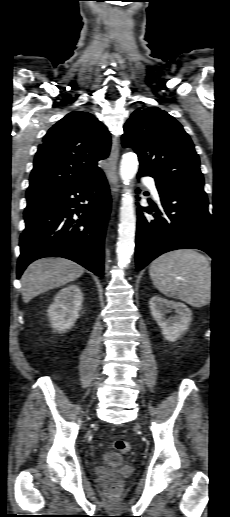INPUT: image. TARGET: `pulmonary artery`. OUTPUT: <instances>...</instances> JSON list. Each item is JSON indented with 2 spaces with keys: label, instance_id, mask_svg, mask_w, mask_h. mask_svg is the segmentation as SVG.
<instances>
[{
  "label": "pulmonary artery",
  "instance_id": "pulmonary-artery-1",
  "mask_svg": "<svg viewBox=\"0 0 230 517\" xmlns=\"http://www.w3.org/2000/svg\"><path fill=\"white\" fill-rule=\"evenodd\" d=\"M143 182L146 185H148V187L150 188V191H151V194L153 195V197L155 199H160L159 192L157 190V187H156L154 179L149 178V177H145V178H143Z\"/></svg>",
  "mask_w": 230,
  "mask_h": 517
}]
</instances>
